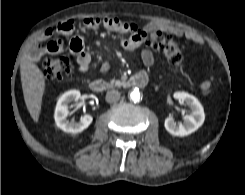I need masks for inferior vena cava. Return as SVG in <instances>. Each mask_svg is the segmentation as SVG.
<instances>
[{
  "label": "inferior vena cava",
  "instance_id": "602c4592",
  "mask_svg": "<svg viewBox=\"0 0 245 195\" xmlns=\"http://www.w3.org/2000/svg\"><path fill=\"white\" fill-rule=\"evenodd\" d=\"M120 99V92L116 90H111L106 93V101L108 103L116 102Z\"/></svg>",
  "mask_w": 245,
  "mask_h": 195
}]
</instances>
